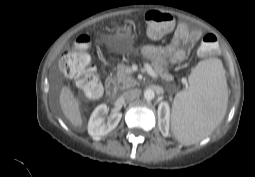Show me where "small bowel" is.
Returning <instances> with one entry per match:
<instances>
[{
  "label": "small bowel",
  "instance_id": "small-bowel-1",
  "mask_svg": "<svg viewBox=\"0 0 255 177\" xmlns=\"http://www.w3.org/2000/svg\"><path fill=\"white\" fill-rule=\"evenodd\" d=\"M201 37L202 32L199 29L191 28L182 23L177 26L167 45H146L143 47L142 53L160 65H164L166 59L177 64L186 59L190 49L201 40Z\"/></svg>",
  "mask_w": 255,
  "mask_h": 177
}]
</instances>
